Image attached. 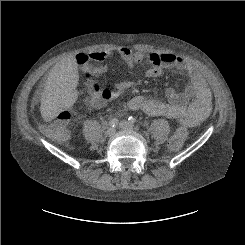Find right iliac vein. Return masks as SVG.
I'll return each mask as SVG.
<instances>
[{"label": "right iliac vein", "mask_w": 245, "mask_h": 245, "mask_svg": "<svg viewBox=\"0 0 245 245\" xmlns=\"http://www.w3.org/2000/svg\"><path fill=\"white\" fill-rule=\"evenodd\" d=\"M115 133H116V129L114 127H110L106 131V135L109 137L113 136Z\"/></svg>", "instance_id": "1"}]
</instances>
